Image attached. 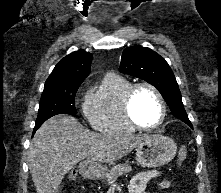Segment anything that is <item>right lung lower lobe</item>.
I'll use <instances>...</instances> for the list:
<instances>
[{
	"mask_svg": "<svg viewBox=\"0 0 221 193\" xmlns=\"http://www.w3.org/2000/svg\"><path fill=\"white\" fill-rule=\"evenodd\" d=\"M41 126V124H36L33 130V134L36 132V130Z\"/></svg>",
	"mask_w": 221,
	"mask_h": 193,
	"instance_id": "98d812e1",
	"label": "right lung lower lobe"
}]
</instances>
